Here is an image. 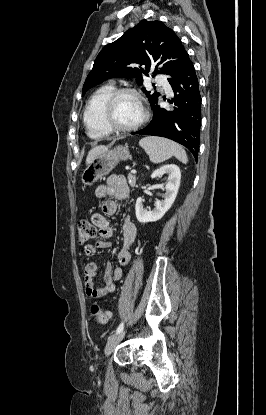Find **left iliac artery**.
I'll list each match as a JSON object with an SVG mask.
<instances>
[{"instance_id":"obj_1","label":"left iliac artery","mask_w":266,"mask_h":415,"mask_svg":"<svg viewBox=\"0 0 266 415\" xmlns=\"http://www.w3.org/2000/svg\"><path fill=\"white\" fill-rule=\"evenodd\" d=\"M124 328V323L122 322L116 329V333H120Z\"/></svg>"}]
</instances>
